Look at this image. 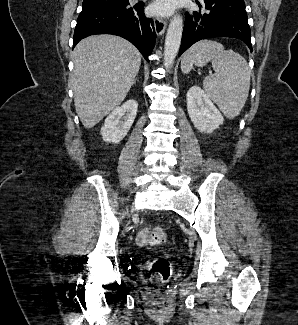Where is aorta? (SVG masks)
I'll use <instances>...</instances> for the list:
<instances>
[{
	"mask_svg": "<svg viewBox=\"0 0 298 325\" xmlns=\"http://www.w3.org/2000/svg\"><path fill=\"white\" fill-rule=\"evenodd\" d=\"M183 28L184 24L181 14H174L168 24L164 42L163 66H165L167 72H170V68L173 66L179 52Z\"/></svg>",
	"mask_w": 298,
	"mask_h": 325,
	"instance_id": "1",
	"label": "aorta"
}]
</instances>
